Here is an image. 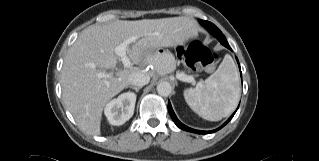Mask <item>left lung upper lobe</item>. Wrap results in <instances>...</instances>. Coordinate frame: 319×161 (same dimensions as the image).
<instances>
[{
  "label": "left lung upper lobe",
  "mask_w": 319,
  "mask_h": 161,
  "mask_svg": "<svg viewBox=\"0 0 319 161\" xmlns=\"http://www.w3.org/2000/svg\"><path fill=\"white\" fill-rule=\"evenodd\" d=\"M207 24L209 27H214V24H212L211 22L207 21ZM213 35L221 42L222 45H225L226 43H228L225 36L222 34L220 30H218L216 33H213Z\"/></svg>",
  "instance_id": "5c2ea615"
}]
</instances>
